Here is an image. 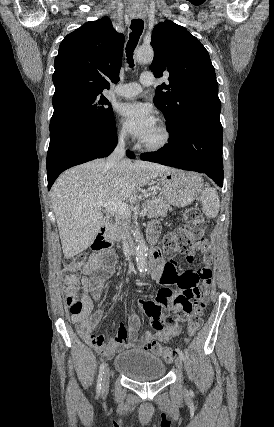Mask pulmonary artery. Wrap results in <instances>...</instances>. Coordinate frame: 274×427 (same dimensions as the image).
I'll use <instances>...</instances> for the list:
<instances>
[{"label": "pulmonary artery", "mask_w": 274, "mask_h": 427, "mask_svg": "<svg viewBox=\"0 0 274 427\" xmlns=\"http://www.w3.org/2000/svg\"><path fill=\"white\" fill-rule=\"evenodd\" d=\"M154 84L153 77L148 75L147 72L142 73L139 82H132L117 86L115 93L122 97H134L139 95L144 87H148Z\"/></svg>", "instance_id": "1"}]
</instances>
